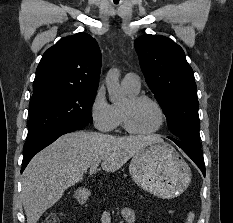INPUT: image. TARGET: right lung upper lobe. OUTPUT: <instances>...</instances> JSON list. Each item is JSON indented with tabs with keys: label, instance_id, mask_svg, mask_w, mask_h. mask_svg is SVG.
<instances>
[{
	"label": "right lung upper lobe",
	"instance_id": "cb5924a9",
	"mask_svg": "<svg viewBox=\"0 0 233 223\" xmlns=\"http://www.w3.org/2000/svg\"><path fill=\"white\" fill-rule=\"evenodd\" d=\"M101 64L99 46L89 34L62 38L43 54L33 95L53 90L96 91Z\"/></svg>",
	"mask_w": 233,
	"mask_h": 223
}]
</instances>
